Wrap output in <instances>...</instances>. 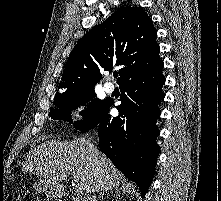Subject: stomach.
Wrapping results in <instances>:
<instances>
[{
    "label": "stomach",
    "mask_w": 221,
    "mask_h": 201,
    "mask_svg": "<svg viewBox=\"0 0 221 201\" xmlns=\"http://www.w3.org/2000/svg\"><path fill=\"white\" fill-rule=\"evenodd\" d=\"M33 187L39 193H44L52 196H55L58 191L57 189L53 188V186L44 179L36 181Z\"/></svg>",
    "instance_id": "stomach-1"
}]
</instances>
